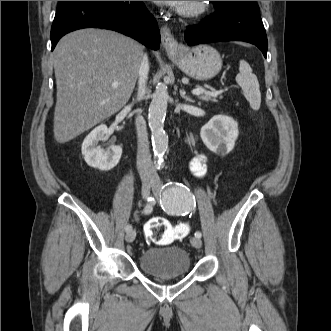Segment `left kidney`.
<instances>
[{"mask_svg": "<svg viewBox=\"0 0 331 331\" xmlns=\"http://www.w3.org/2000/svg\"><path fill=\"white\" fill-rule=\"evenodd\" d=\"M238 133V124L234 119L216 115L201 128L200 135L208 149L225 156L233 150Z\"/></svg>", "mask_w": 331, "mask_h": 331, "instance_id": "1", "label": "left kidney"}]
</instances>
